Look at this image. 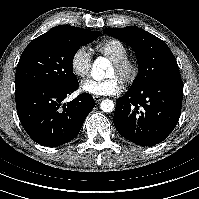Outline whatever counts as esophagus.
I'll list each match as a JSON object with an SVG mask.
<instances>
[{"label": "esophagus", "mask_w": 199, "mask_h": 199, "mask_svg": "<svg viewBox=\"0 0 199 199\" xmlns=\"http://www.w3.org/2000/svg\"><path fill=\"white\" fill-rule=\"evenodd\" d=\"M93 99L95 100V102L99 103L103 98L100 97V96L94 95V96H93Z\"/></svg>", "instance_id": "1"}]
</instances>
